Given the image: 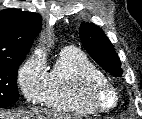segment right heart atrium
<instances>
[{"instance_id": "1", "label": "right heart atrium", "mask_w": 142, "mask_h": 119, "mask_svg": "<svg viewBox=\"0 0 142 119\" xmlns=\"http://www.w3.org/2000/svg\"><path fill=\"white\" fill-rule=\"evenodd\" d=\"M46 74L45 59L39 52L29 56L19 68L17 84L21 94L28 102L41 101Z\"/></svg>"}]
</instances>
